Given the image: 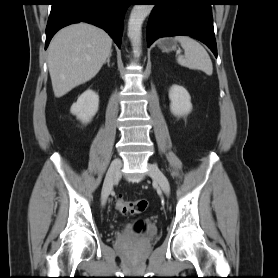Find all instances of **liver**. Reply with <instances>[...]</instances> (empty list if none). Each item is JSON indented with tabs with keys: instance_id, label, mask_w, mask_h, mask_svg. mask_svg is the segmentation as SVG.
I'll return each instance as SVG.
<instances>
[{
	"instance_id": "liver-1",
	"label": "liver",
	"mask_w": 278,
	"mask_h": 278,
	"mask_svg": "<svg viewBox=\"0 0 278 278\" xmlns=\"http://www.w3.org/2000/svg\"><path fill=\"white\" fill-rule=\"evenodd\" d=\"M112 39L102 29L77 23L61 29L48 49L54 95L60 98L92 79L111 54Z\"/></svg>"
}]
</instances>
